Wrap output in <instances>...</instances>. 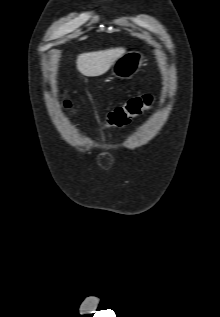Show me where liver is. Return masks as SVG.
<instances>
[{"label": "liver", "instance_id": "6515ba94", "mask_svg": "<svg viewBox=\"0 0 220 317\" xmlns=\"http://www.w3.org/2000/svg\"><path fill=\"white\" fill-rule=\"evenodd\" d=\"M124 53V48L83 53L77 57L76 66L82 75L97 77L106 73Z\"/></svg>", "mask_w": 220, "mask_h": 317}]
</instances>
